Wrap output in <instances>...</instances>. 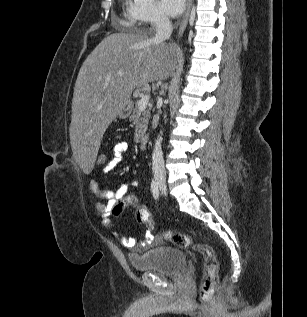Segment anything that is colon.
Segmentation results:
<instances>
[{"mask_svg": "<svg viewBox=\"0 0 307 317\" xmlns=\"http://www.w3.org/2000/svg\"><path fill=\"white\" fill-rule=\"evenodd\" d=\"M107 162V155L104 152H99L95 161L96 165L103 168ZM127 207H133L135 209V218L138 223L145 225L148 229H154V221L151 213L139 202L135 195H129L122 200L117 201L112 208V214L118 216L122 210ZM162 237L181 248L191 245L190 238L181 232L165 231L162 233ZM194 248L205 257L204 277L201 284V295L205 296L211 291L212 285L216 279L218 264L210 246L196 244L194 245Z\"/></svg>", "mask_w": 307, "mask_h": 317, "instance_id": "5ec220e1", "label": "colon"}]
</instances>
